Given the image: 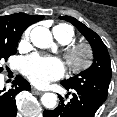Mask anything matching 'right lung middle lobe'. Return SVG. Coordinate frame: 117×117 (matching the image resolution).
I'll use <instances>...</instances> for the list:
<instances>
[{"instance_id":"right-lung-middle-lobe-1","label":"right lung middle lobe","mask_w":117,"mask_h":117,"mask_svg":"<svg viewBox=\"0 0 117 117\" xmlns=\"http://www.w3.org/2000/svg\"><path fill=\"white\" fill-rule=\"evenodd\" d=\"M20 36L16 37H0V60H7V58L16 53V47ZM3 68H0V72Z\"/></svg>"}]
</instances>
